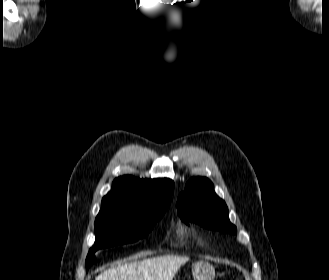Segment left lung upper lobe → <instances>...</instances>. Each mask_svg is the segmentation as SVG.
<instances>
[{
  "label": "left lung upper lobe",
  "mask_w": 329,
  "mask_h": 280,
  "mask_svg": "<svg viewBox=\"0 0 329 280\" xmlns=\"http://www.w3.org/2000/svg\"><path fill=\"white\" fill-rule=\"evenodd\" d=\"M178 214L185 223L195 222L201 226L226 233H236L230 223L226 203L214 192L210 180L204 177L192 178L177 200Z\"/></svg>",
  "instance_id": "5c2ea615"
}]
</instances>
